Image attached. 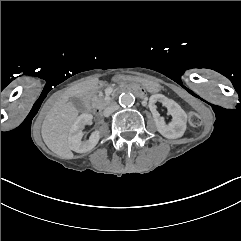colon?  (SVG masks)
<instances>
[{"label": "colon", "mask_w": 241, "mask_h": 241, "mask_svg": "<svg viewBox=\"0 0 241 241\" xmlns=\"http://www.w3.org/2000/svg\"><path fill=\"white\" fill-rule=\"evenodd\" d=\"M188 120H189L190 125L194 126V127H197V126L201 125V123H202L200 116L195 112L189 113Z\"/></svg>", "instance_id": "colon-1"}]
</instances>
